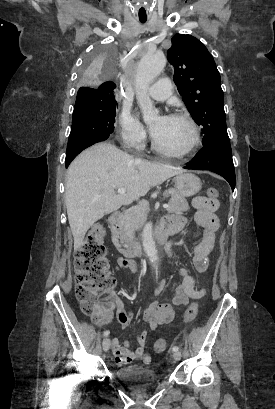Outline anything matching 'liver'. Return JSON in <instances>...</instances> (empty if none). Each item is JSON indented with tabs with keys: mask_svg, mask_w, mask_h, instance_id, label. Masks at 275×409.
Listing matches in <instances>:
<instances>
[{
	"mask_svg": "<svg viewBox=\"0 0 275 409\" xmlns=\"http://www.w3.org/2000/svg\"><path fill=\"white\" fill-rule=\"evenodd\" d=\"M182 172L186 170L134 158L110 142H98L83 150L66 174V209L75 251L81 247L88 229L104 215ZM115 188H126V192L116 194Z\"/></svg>",
	"mask_w": 275,
	"mask_h": 409,
	"instance_id": "liver-1",
	"label": "liver"
}]
</instances>
